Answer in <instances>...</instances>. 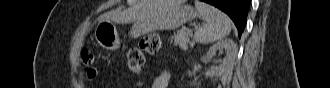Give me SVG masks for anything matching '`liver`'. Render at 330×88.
I'll return each mask as SVG.
<instances>
[{"label":"liver","mask_w":330,"mask_h":88,"mask_svg":"<svg viewBox=\"0 0 330 88\" xmlns=\"http://www.w3.org/2000/svg\"><path fill=\"white\" fill-rule=\"evenodd\" d=\"M157 0H138L133 6L124 12L109 13L105 15V20H118L121 22H132L146 19L154 10Z\"/></svg>","instance_id":"6515ba94"}]
</instances>
